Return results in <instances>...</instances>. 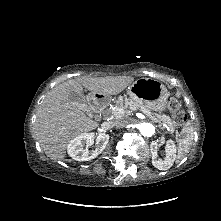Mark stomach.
<instances>
[{"instance_id": "stomach-1", "label": "stomach", "mask_w": 221, "mask_h": 221, "mask_svg": "<svg viewBox=\"0 0 221 221\" xmlns=\"http://www.w3.org/2000/svg\"><path fill=\"white\" fill-rule=\"evenodd\" d=\"M130 99L150 110L163 111L166 108L169 93L165 85L152 78H140L128 86Z\"/></svg>"}]
</instances>
